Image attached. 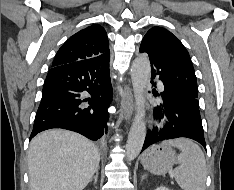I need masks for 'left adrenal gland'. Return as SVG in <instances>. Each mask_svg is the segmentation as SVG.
Instances as JSON below:
<instances>
[{"label": "left adrenal gland", "mask_w": 234, "mask_h": 190, "mask_svg": "<svg viewBox=\"0 0 234 190\" xmlns=\"http://www.w3.org/2000/svg\"><path fill=\"white\" fill-rule=\"evenodd\" d=\"M147 177V174H144L143 176H142V181H143V179H145Z\"/></svg>", "instance_id": "obj_1"}]
</instances>
